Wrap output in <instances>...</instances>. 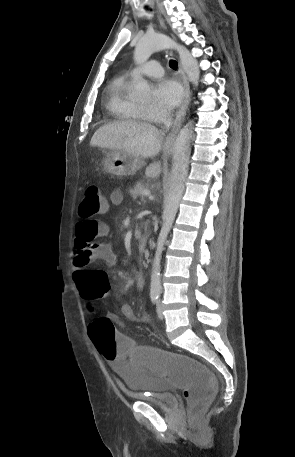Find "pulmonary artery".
I'll return each mask as SVG.
<instances>
[{"label":"pulmonary artery","mask_w":295,"mask_h":457,"mask_svg":"<svg viewBox=\"0 0 295 457\" xmlns=\"http://www.w3.org/2000/svg\"><path fill=\"white\" fill-rule=\"evenodd\" d=\"M145 75L149 77H159L163 75V68L158 61L152 60L140 68H135L130 72L131 77Z\"/></svg>","instance_id":"obj_1"}]
</instances>
